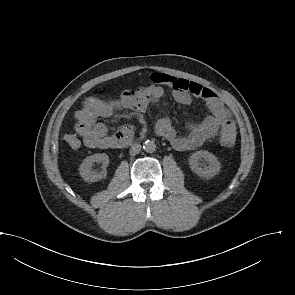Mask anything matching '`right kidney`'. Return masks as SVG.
I'll return each instance as SVG.
<instances>
[{"label": "right kidney", "mask_w": 295, "mask_h": 295, "mask_svg": "<svg viewBox=\"0 0 295 295\" xmlns=\"http://www.w3.org/2000/svg\"><path fill=\"white\" fill-rule=\"evenodd\" d=\"M94 162L102 163V171L93 170ZM109 165V157L105 153H98L86 157L80 165L79 172L81 177L87 182H96L107 175L106 167Z\"/></svg>", "instance_id": "right-kidney-1"}]
</instances>
